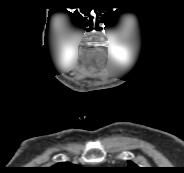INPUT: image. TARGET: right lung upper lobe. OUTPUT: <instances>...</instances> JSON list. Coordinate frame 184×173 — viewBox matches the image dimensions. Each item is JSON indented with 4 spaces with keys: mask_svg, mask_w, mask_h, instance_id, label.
Segmentation results:
<instances>
[{
    "mask_svg": "<svg viewBox=\"0 0 184 173\" xmlns=\"http://www.w3.org/2000/svg\"><path fill=\"white\" fill-rule=\"evenodd\" d=\"M78 167L69 162H60L56 165L49 167L47 173H74Z\"/></svg>",
    "mask_w": 184,
    "mask_h": 173,
    "instance_id": "cb5924a9",
    "label": "right lung upper lobe"
}]
</instances>
